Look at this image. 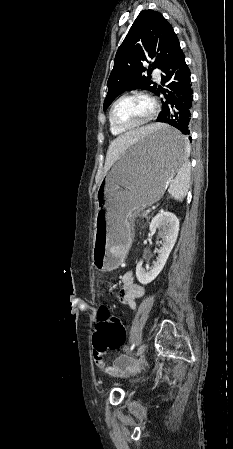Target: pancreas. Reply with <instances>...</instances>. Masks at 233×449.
Here are the masks:
<instances>
[{"mask_svg":"<svg viewBox=\"0 0 233 449\" xmlns=\"http://www.w3.org/2000/svg\"><path fill=\"white\" fill-rule=\"evenodd\" d=\"M148 214L146 212H142L141 214L139 212L136 213V216H140L142 218H148Z\"/></svg>","mask_w":233,"mask_h":449,"instance_id":"1","label":"pancreas"}]
</instances>
